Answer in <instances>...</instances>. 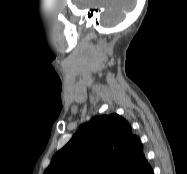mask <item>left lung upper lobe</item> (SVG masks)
Wrapping results in <instances>:
<instances>
[{
  "mask_svg": "<svg viewBox=\"0 0 187 174\" xmlns=\"http://www.w3.org/2000/svg\"><path fill=\"white\" fill-rule=\"evenodd\" d=\"M147 160L139 138L117 114L94 117L81 125L52 158L44 174H131Z\"/></svg>",
  "mask_w": 187,
  "mask_h": 174,
  "instance_id": "left-lung-upper-lobe-1",
  "label": "left lung upper lobe"
}]
</instances>
